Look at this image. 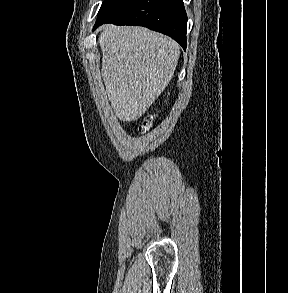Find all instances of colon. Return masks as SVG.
Returning <instances> with one entry per match:
<instances>
[{"instance_id":"obj_1","label":"colon","mask_w":288,"mask_h":293,"mask_svg":"<svg viewBox=\"0 0 288 293\" xmlns=\"http://www.w3.org/2000/svg\"><path fill=\"white\" fill-rule=\"evenodd\" d=\"M152 117H147L142 124L139 126V131L140 132H145L146 130H148L150 128V126L152 125Z\"/></svg>"}]
</instances>
